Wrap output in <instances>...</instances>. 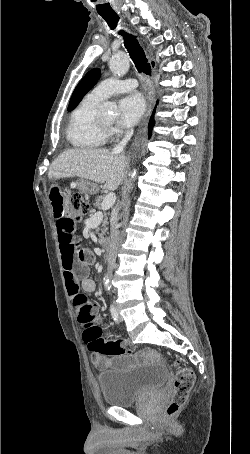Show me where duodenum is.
Segmentation results:
<instances>
[{
	"label": "duodenum",
	"mask_w": 250,
	"mask_h": 454,
	"mask_svg": "<svg viewBox=\"0 0 250 454\" xmlns=\"http://www.w3.org/2000/svg\"><path fill=\"white\" fill-rule=\"evenodd\" d=\"M102 246H103L104 251L106 253H108L110 251V249H111V246H112L111 239L109 237L103 238Z\"/></svg>",
	"instance_id": "410a0bca"
}]
</instances>
